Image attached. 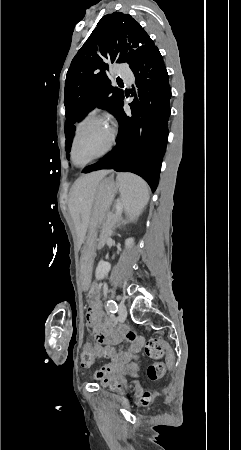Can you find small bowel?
Returning a JSON list of instances; mask_svg holds the SVG:
<instances>
[{"label":"small bowel","mask_w":241,"mask_h":450,"mask_svg":"<svg viewBox=\"0 0 241 450\" xmlns=\"http://www.w3.org/2000/svg\"><path fill=\"white\" fill-rule=\"evenodd\" d=\"M99 298H88L87 323L89 325H102V316H97L100 310ZM114 330L113 326L109 327ZM93 336H101L102 340L94 344V359L97 355H104L112 360L106 369H99L93 375V379L103 386L109 387L113 391H121L127 384L126 376H137L135 370L129 369L128 364L139 357L145 339L134 330L122 328L114 332H108L102 327L91 329ZM96 339V337H95ZM118 346V349H116Z\"/></svg>","instance_id":"obj_1"}]
</instances>
